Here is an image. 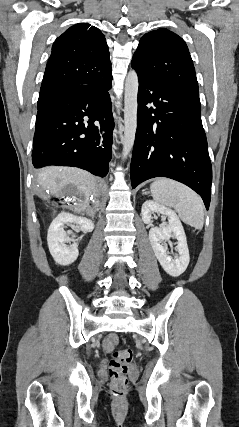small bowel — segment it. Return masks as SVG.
I'll list each match as a JSON object with an SVG mask.
<instances>
[{
    "label": "small bowel",
    "instance_id": "c3829d8e",
    "mask_svg": "<svg viewBox=\"0 0 239 427\" xmlns=\"http://www.w3.org/2000/svg\"><path fill=\"white\" fill-rule=\"evenodd\" d=\"M117 341H118V338L116 335L114 334L109 335L103 342L104 350L107 352L111 351L114 348Z\"/></svg>",
    "mask_w": 239,
    "mask_h": 427
}]
</instances>
